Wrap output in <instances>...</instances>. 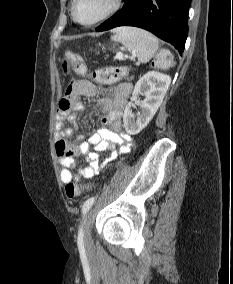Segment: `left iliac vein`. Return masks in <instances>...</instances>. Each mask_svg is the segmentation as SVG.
<instances>
[{"mask_svg":"<svg viewBox=\"0 0 233 284\" xmlns=\"http://www.w3.org/2000/svg\"><path fill=\"white\" fill-rule=\"evenodd\" d=\"M90 221H91V212H88L82 224L84 239L87 244L90 242Z\"/></svg>","mask_w":233,"mask_h":284,"instance_id":"1","label":"left iliac vein"}]
</instances>
